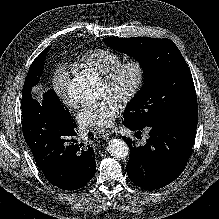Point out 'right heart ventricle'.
<instances>
[{
  "label": "right heart ventricle",
  "instance_id": "e07e8e85",
  "mask_svg": "<svg viewBox=\"0 0 219 219\" xmlns=\"http://www.w3.org/2000/svg\"><path fill=\"white\" fill-rule=\"evenodd\" d=\"M122 62V57L113 51L97 49L80 56L76 63L84 70L101 78Z\"/></svg>",
  "mask_w": 219,
  "mask_h": 219
}]
</instances>
